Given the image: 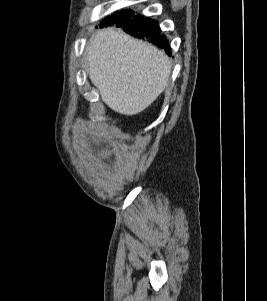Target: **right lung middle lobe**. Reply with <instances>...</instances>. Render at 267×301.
Returning <instances> with one entry per match:
<instances>
[{
	"label": "right lung middle lobe",
	"mask_w": 267,
	"mask_h": 301,
	"mask_svg": "<svg viewBox=\"0 0 267 301\" xmlns=\"http://www.w3.org/2000/svg\"><path fill=\"white\" fill-rule=\"evenodd\" d=\"M134 14V11L133 10H125V11H122V12H119L117 14H113L112 16L110 17H107L106 19H104L100 26H108V25H113L125 18H128V17H131L132 15Z\"/></svg>",
	"instance_id": "1"
}]
</instances>
